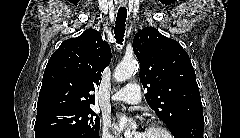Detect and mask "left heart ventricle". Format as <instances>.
I'll list each match as a JSON object with an SVG mask.
<instances>
[{
    "label": "left heart ventricle",
    "mask_w": 240,
    "mask_h": 138,
    "mask_svg": "<svg viewBox=\"0 0 240 138\" xmlns=\"http://www.w3.org/2000/svg\"><path fill=\"white\" fill-rule=\"evenodd\" d=\"M140 138H165V135L159 131L146 129Z\"/></svg>",
    "instance_id": "left-heart-ventricle-1"
}]
</instances>
